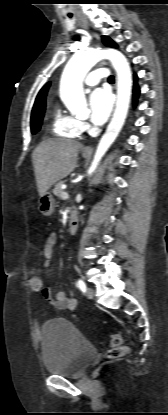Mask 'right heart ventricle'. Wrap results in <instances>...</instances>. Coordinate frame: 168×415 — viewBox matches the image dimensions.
I'll return each instance as SVG.
<instances>
[{
	"label": "right heart ventricle",
	"instance_id": "obj_1",
	"mask_svg": "<svg viewBox=\"0 0 168 415\" xmlns=\"http://www.w3.org/2000/svg\"><path fill=\"white\" fill-rule=\"evenodd\" d=\"M52 133L58 137L78 138L81 134L80 122L74 116L63 112L60 108L54 111Z\"/></svg>",
	"mask_w": 168,
	"mask_h": 415
}]
</instances>
